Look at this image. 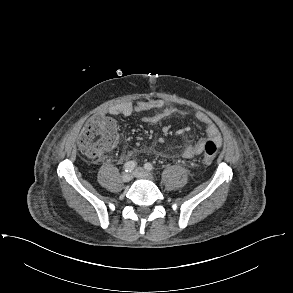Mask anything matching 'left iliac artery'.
Returning <instances> with one entry per match:
<instances>
[{
    "instance_id": "1",
    "label": "left iliac artery",
    "mask_w": 293,
    "mask_h": 293,
    "mask_svg": "<svg viewBox=\"0 0 293 293\" xmlns=\"http://www.w3.org/2000/svg\"><path fill=\"white\" fill-rule=\"evenodd\" d=\"M144 168H145L146 170H148V171H153V169H154V167H153V165H152L151 163H146V164L144 165Z\"/></svg>"
}]
</instances>
